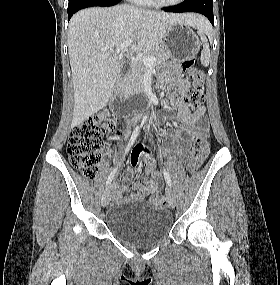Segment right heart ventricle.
Masks as SVG:
<instances>
[{"label":"right heart ventricle","mask_w":280,"mask_h":285,"mask_svg":"<svg viewBox=\"0 0 280 285\" xmlns=\"http://www.w3.org/2000/svg\"><path fill=\"white\" fill-rule=\"evenodd\" d=\"M136 3L140 4V5H144V6H149L152 3L150 2V0H135Z\"/></svg>","instance_id":"obj_1"}]
</instances>
